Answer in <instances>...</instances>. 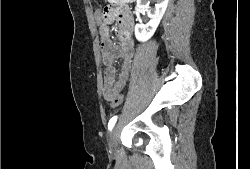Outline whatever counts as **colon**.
Listing matches in <instances>:
<instances>
[{"mask_svg": "<svg viewBox=\"0 0 250 169\" xmlns=\"http://www.w3.org/2000/svg\"><path fill=\"white\" fill-rule=\"evenodd\" d=\"M99 1L100 3H105L106 0H99ZM100 51H105V40H100ZM106 95H117V93H106ZM119 95L121 96L122 94L120 93ZM108 100L111 104V108H116V104L123 103V97H109Z\"/></svg>", "mask_w": 250, "mask_h": 169, "instance_id": "colon-1", "label": "colon"}]
</instances>
